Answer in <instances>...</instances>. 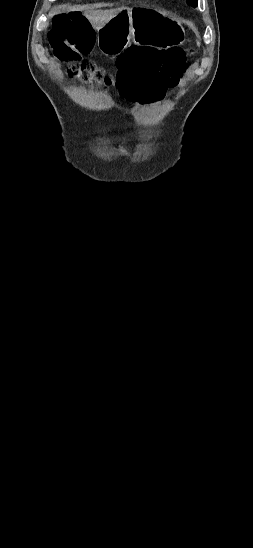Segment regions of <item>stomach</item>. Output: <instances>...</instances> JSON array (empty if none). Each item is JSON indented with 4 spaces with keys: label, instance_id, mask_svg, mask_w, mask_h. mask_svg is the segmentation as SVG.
<instances>
[{
    "label": "stomach",
    "instance_id": "obj_1",
    "mask_svg": "<svg viewBox=\"0 0 253 548\" xmlns=\"http://www.w3.org/2000/svg\"><path fill=\"white\" fill-rule=\"evenodd\" d=\"M182 25L151 10H123L97 30L99 50L105 55H118L131 42L135 44L177 45L183 40Z\"/></svg>",
    "mask_w": 253,
    "mask_h": 548
}]
</instances>
